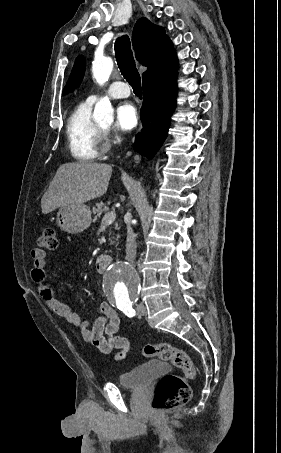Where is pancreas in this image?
<instances>
[{"mask_svg": "<svg viewBox=\"0 0 281 453\" xmlns=\"http://www.w3.org/2000/svg\"><path fill=\"white\" fill-rule=\"evenodd\" d=\"M109 210V206H106L105 202H96V206H93L92 212L95 214V218L97 216H101L102 212H107ZM117 231H119V227H116ZM120 235H117V239H119Z\"/></svg>", "mask_w": 281, "mask_h": 453, "instance_id": "pancreas-1", "label": "pancreas"}]
</instances>
